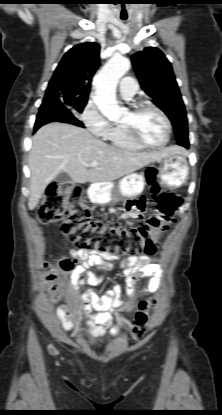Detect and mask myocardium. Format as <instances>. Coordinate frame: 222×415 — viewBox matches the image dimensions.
Masks as SVG:
<instances>
[{
  "instance_id": "f54148a6",
  "label": "myocardium",
  "mask_w": 222,
  "mask_h": 415,
  "mask_svg": "<svg viewBox=\"0 0 222 415\" xmlns=\"http://www.w3.org/2000/svg\"><path fill=\"white\" fill-rule=\"evenodd\" d=\"M147 108L155 110L162 117V119L165 122L166 137H165V140L162 143H160V144H151V143L146 142L144 139H142V137L138 133V130H137V128H136V126L134 125L133 122L123 123V126L126 129L129 136L131 137V139L136 144H138L139 146H141L143 148H148V149L163 148V147H165L169 144L170 139H171V134H172L171 120L168 117V115L160 107H158L157 105H155L151 102H148V101H141V102H138V103L134 104L132 109L130 110V112L132 113L133 116H137L141 111H143L144 109H147Z\"/></svg>"
}]
</instances>
